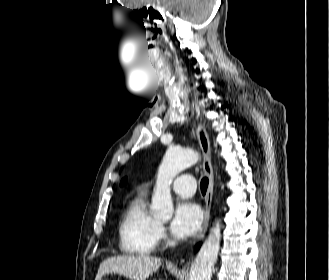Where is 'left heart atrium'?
I'll return each instance as SVG.
<instances>
[{"label":"left heart atrium","instance_id":"obj_1","mask_svg":"<svg viewBox=\"0 0 329 280\" xmlns=\"http://www.w3.org/2000/svg\"><path fill=\"white\" fill-rule=\"evenodd\" d=\"M203 220L200 207L190 201L180 202L174 211L171 232L179 238H186L198 231Z\"/></svg>","mask_w":329,"mask_h":280}]
</instances>
